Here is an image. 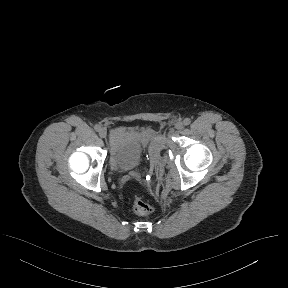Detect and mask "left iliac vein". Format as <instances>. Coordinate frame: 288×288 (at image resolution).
I'll return each instance as SVG.
<instances>
[{
  "instance_id": "4c4485c4",
  "label": "left iliac vein",
  "mask_w": 288,
  "mask_h": 288,
  "mask_svg": "<svg viewBox=\"0 0 288 288\" xmlns=\"http://www.w3.org/2000/svg\"><path fill=\"white\" fill-rule=\"evenodd\" d=\"M183 127H184V126H183V123H182V122H177V123L175 124V129H176V130H181Z\"/></svg>"
}]
</instances>
